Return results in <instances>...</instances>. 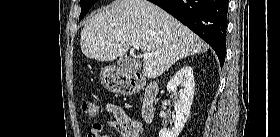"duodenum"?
Masks as SVG:
<instances>
[{
  "instance_id": "duodenum-1",
  "label": "duodenum",
  "mask_w": 280,
  "mask_h": 137,
  "mask_svg": "<svg viewBox=\"0 0 280 137\" xmlns=\"http://www.w3.org/2000/svg\"><path fill=\"white\" fill-rule=\"evenodd\" d=\"M133 92L142 91L140 102L141 117L145 122H152L155 118V100L159 93V86L156 83L143 86L135 81L132 85Z\"/></svg>"
}]
</instances>
